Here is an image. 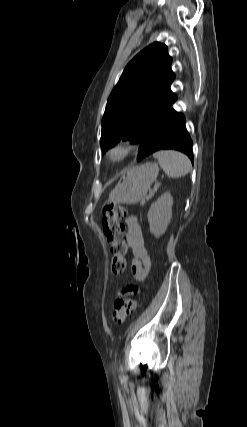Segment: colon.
<instances>
[{"label":"colon","mask_w":247,"mask_h":427,"mask_svg":"<svg viewBox=\"0 0 247 427\" xmlns=\"http://www.w3.org/2000/svg\"><path fill=\"white\" fill-rule=\"evenodd\" d=\"M125 215V208L118 203L110 204L103 210V233L110 245V252L112 255L111 272L115 276L122 274L126 268L128 245L124 227L122 225V219ZM138 308L139 304L136 299H117L114 302L112 320L115 323L121 324L128 317L134 314Z\"/></svg>","instance_id":"5ec220e1"}]
</instances>
